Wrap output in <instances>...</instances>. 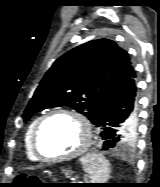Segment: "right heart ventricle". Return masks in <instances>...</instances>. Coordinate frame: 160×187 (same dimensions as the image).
<instances>
[{
  "instance_id": "e07e8e85",
  "label": "right heart ventricle",
  "mask_w": 160,
  "mask_h": 187,
  "mask_svg": "<svg viewBox=\"0 0 160 187\" xmlns=\"http://www.w3.org/2000/svg\"><path fill=\"white\" fill-rule=\"evenodd\" d=\"M40 118L41 117L35 118L29 124V126L27 127L25 134H24V141H23L24 151H25L26 157L32 161L39 160V158L36 156V154L34 153L33 148H32V134H33V130Z\"/></svg>"
}]
</instances>
